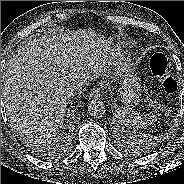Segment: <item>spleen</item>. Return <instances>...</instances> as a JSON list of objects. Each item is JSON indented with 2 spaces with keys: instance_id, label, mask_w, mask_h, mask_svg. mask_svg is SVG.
Segmentation results:
<instances>
[{
  "instance_id": "obj_1",
  "label": "spleen",
  "mask_w": 184,
  "mask_h": 184,
  "mask_svg": "<svg viewBox=\"0 0 184 184\" xmlns=\"http://www.w3.org/2000/svg\"><path fill=\"white\" fill-rule=\"evenodd\" d=\"M132 113H133V117H131V118H133V124H137L139 122L141 124L143 122L142 120L144 119L141 117L143 115L142 114L139 115V113H136L135 111H132ZM131 116H132V114H131Z\"/></svg>"
}]
</instances>
